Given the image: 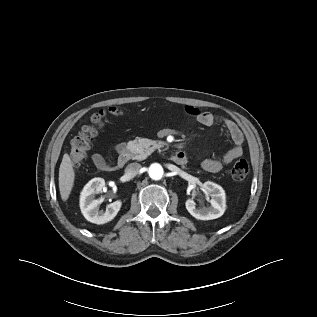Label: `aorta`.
Segmentation results:
<instances>
[{
  "instance_id": "obj_1",
  "label": "aorta",
  "mask_w": 317,
  "mask_h": 317,
  "mask_svg": "<svg viewBox=\"0 0 317 317\" xmlns=\"http://www.w3.org/2000/svg\"><path fill=\"white\" fill-rule=\"evenodd\" d=\"M163 168L160 164L154 163L149 168V176L154 180H160L163 177Z\"/></svg>"
}]
</instances>
